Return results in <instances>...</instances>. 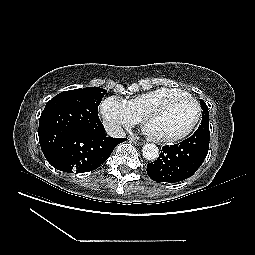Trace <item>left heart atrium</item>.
<instances>
[{"mask_svg": "<svg viewBox=\"0 0 255 255\" xmlns=\"http://www.w3.org/2000/svg\"><path fill=\"white\" fill-rule=\"evenodd\" d=\"M143 132H144L146 135H149V136H153V135H154L153 132H152L147 126H145V127L143 128Z\"/></svg>", "mask_w": 255, "mask_h": 255, "instance_id": "obj_1", "label": "left heart atrium"}]
</instances>
